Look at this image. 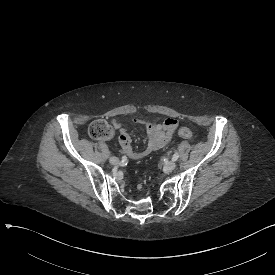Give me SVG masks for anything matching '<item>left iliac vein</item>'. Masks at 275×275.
I'll use <instances>...</instances> for the list:
<instances>
[{
	"instance_id": "left-iliac-vein-1",
	"label": "left iliac vein",
	"mask_w": 275,
	"mask_h": 275,
	"mask_svg": "<svg viewBox=\"0 0 275 275\" xmlns=\"http://www.w3.org/2000/svg\"><path fill=\"white\" fill-rule=\"evenodd\" d=\"M176 167V162L175 161H169L166 163V165L164 166V169L166 171H172L174 170Z\"/></svg>"
}]
</instances>
